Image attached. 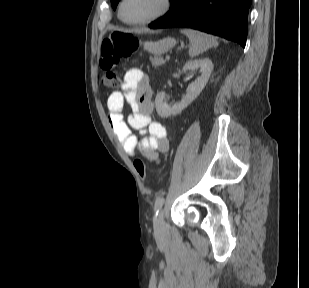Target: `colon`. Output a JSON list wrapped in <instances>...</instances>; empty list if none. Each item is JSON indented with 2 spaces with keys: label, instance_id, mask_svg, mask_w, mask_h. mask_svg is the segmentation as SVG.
Segmentation results:
<instances>
[{
  "label": "colon",
  "instance_id": "1",
  "mask_svg": "<svg viewBox=\"0 0 309 288\" xmlns=\"http://www.w3.org/2000/svg\"><path fill=\"white\" fill-rule=\"evenodd\" d=\"M138 47V41L133 34L125 31L113 32L101 44L100 68L103 71L101 83L105 87H114L118 84L116 68L120 61L132 55ZM135 169L142 178L146 177L145 163L137 159Z\"/></svg>",
  "mask_w": 309,
  "mask_h": 288
}]
</instances>
